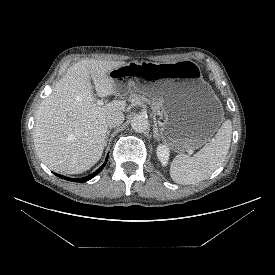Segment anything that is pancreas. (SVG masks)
<instances>
[{
    "mask_svg": "<svg viewBox=\"0 0 275 275\" xmlns=\"http://www.w3.org/2000/svg\"><path fill=\"white\" fill-rule=\"evenodd\" d=\"M129 101H131L132 103H137V102H146L148 103L152 110L156 113H158L160 116H162L161 112H160V109H161V106H162V102L159 100V101H156L154 98H147L146 96L144 95H140V94H137V93H133L129 96Z\"/></svg>",
    "mask_w": 275,
    "mask_h": 275,
    "instance_id": "1",
    "label": "pancreas"
}]
</instances>
